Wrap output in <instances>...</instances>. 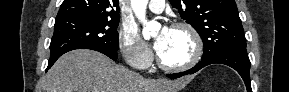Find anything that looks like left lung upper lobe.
<instances>
[{
	"label": "left lung upper lobe",
	"instance_id": "left-lung-upper-lobe-1",
	"mask_svg": "<svg viewBox=\"0 0 289 92\" xmlns=\"http://www.w3.org/2000/svg\"><path fill=\"white\" fill-rule=\"evenodd\" d=\"M169 1L199 33L204 43L203 57L227 50L246 51V38L234 0Z\"/></svg>",
	"mask_w": 289,
	"mask_h": 92
}]
</instances>
